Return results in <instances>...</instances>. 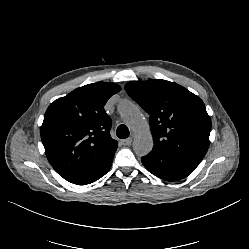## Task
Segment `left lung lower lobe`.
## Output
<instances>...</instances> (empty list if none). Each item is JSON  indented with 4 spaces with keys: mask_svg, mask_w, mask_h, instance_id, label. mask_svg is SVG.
Masks as SVG:
<instances>
[{
    "mask_svg": "<svg viewBox=\"0 0 249 249\" xmlns=\"http://www.w3.org/2000/svg\"><path fill=\"white\" fill-rule=\"evenodd\" d=\"M141 161L149 172L167 181H177L187 177L199 164L153 151L142 157Z\"/></svg>",
    "mask_w": 249,
    "mask_h": 249,
    "instance_id": "0a47b994",
    "label": "left lung lower lobe"
}]
</instances>
